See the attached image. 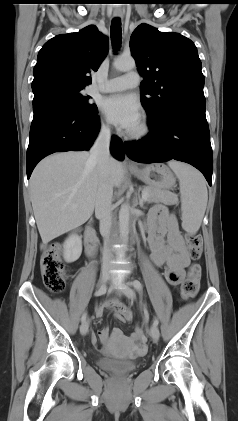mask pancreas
<instances>
[{"mask_svg": "<svg viewBox=\"0 0 238 421\" xmlns=\"http://www.w3.org/2000/svg\"><path fill=\"white\" fill-rule=\"evenodd\" d=\"M143 191H147L149 194L147 198L148 203L162 202L168 205L175 203L174 202L175 196L167 191L150 187V186L144 187Z\"/></svg>", "mask_w": 238, "mask_h": 421, "instance_id": "cf45deb5", "label": "pancreas"}]
</instances>
